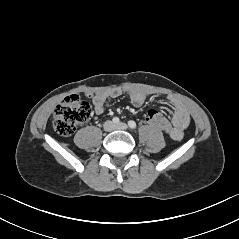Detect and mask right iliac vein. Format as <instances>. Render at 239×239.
Returning <instances> with one entry per match:
<instances>
[{
	"label": "right iliac vein",
	"instance_id": "1",
	"mask_svg": "<svg viewBox=\"0 0 239 239\" xmlns=\"http://www.w3.org/2000/svg\"><path fill=\"white\" fill-rule=\"evenodd\" d=\"M114 124L111 121H108L104 124L105 131H112L114 129Z\"/></svg>",
	"mask_w": 239,
	"mask_h": 239
}]
</instances>
